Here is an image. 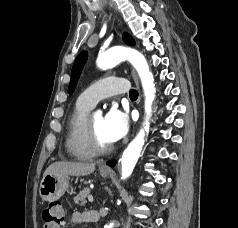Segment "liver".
I'll return each instance as SVG.
<instances>
[{
  "label": "liver",
  "mask_w": 238,
  "mask_h": 228,
  "mask_svg": "<svg viewBox=\"0 0 238 228\" xmlns=\"http://www.w3.org/2000/svg\"><path fill=\"white\" fill-rule=\"evenodd\" d=\"M94 171V164L73 161H58L51 164L45 170L44 175L63 174L67 176H85L93 173Z\"/></svg>",
  "instance_id": "obj_1"
}]
</instances>
